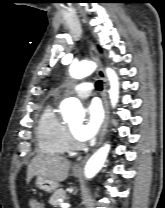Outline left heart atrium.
<instances>
[{"label":"left heart atrium","instance_id":"obj_1","mask_svg":"<svg viewBox=\"0 0 165 208\" xmlns=\"http://www.w3.org/2000/svg\"><path fill=\"white\" fill-rule=\"evenodd\" d=\"M103 119V112L97 101H92L86 108V119L79 125L76 136L83 142L92 140L98 133Z\"/></svg>","mask_w":165,"mask_h":208}]
</instances>
